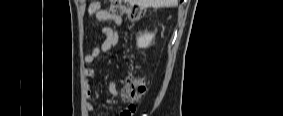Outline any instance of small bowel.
<instances>
[{"label":"small bowel","instance_id":"c3829d8e","mask_svg":"<svg viewBox=\"0 0 283 116\" xmlns=\"http://www.w3.org/2000/svg\"><path fill=\"white\" fill-rule=\"evenodd\" d=\"M88 14L94 16L99 21H111L114 26H103L101 28V34L104 36V41L96 45L93 50L85 55L84 62L86 65L93 64L102 53H108L112 48L116 47L119 42L118 28L122 25V18L117 14H113L106 10L100 2H93L89 5ZM95 75V69L86 66L84 68V76L86 81V94L88 97L92 96L91 78ZM109 92L112 96L118 94L116 81L112 79L108 85ZM86 108L88 111L92 112L94 106L92 104H87Z\"/></svg>","mask_w":283,"mask_h":116}]
</instances>
